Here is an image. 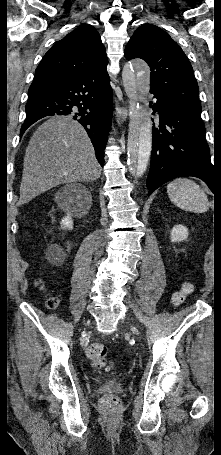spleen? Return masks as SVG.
Listing matches in <instances>:
<instances>
[{
	"instance_id": "1",
	"label": "spleen",
	"mask_w": 221,
	"mask_h": 455,
	"mask_svg": "<svg viewBox=\"0 0 221 455\" xmlns=\"http://www.w3.org/2000/svg\"><path fill=\"white\" fill-rule=\"evenodd\" d=\"M170 200L186 211L203 213L209 209V201L205 192L194 181L178 178L167 185Z\"/></svg>"
}]
</instances>
